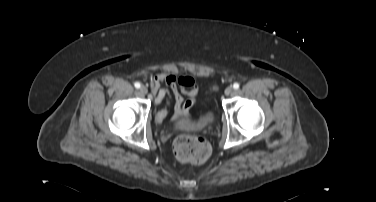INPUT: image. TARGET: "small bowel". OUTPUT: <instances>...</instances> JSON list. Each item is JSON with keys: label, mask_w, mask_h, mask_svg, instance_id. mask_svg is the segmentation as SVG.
I'll use <instances>...</instances> for the list:
<instances>
[{"label": "small bowel", "mask_w": 376, "mask_h": 202, "mask_svg": "<svg viewBox=\"0 0 376 202\" xmlns=\"http://www.w3.org/2000/svg\"><path fill=\"white\" fill-rule=\"evenodd\" d=\"M150 87L154 95L155 105L165 103V106L157 112L158 122H161L166 117L172 97L174 100L173 117L187 116L195 103L199 91V86L192 77L177 76L169 72L154 76L150 81Z\"/></svg>", "instance_id": "small-bowel-1"}]
</instances>
